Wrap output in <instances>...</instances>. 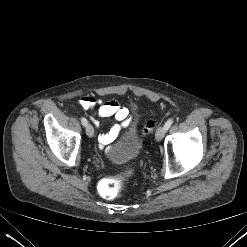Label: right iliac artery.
<instances>
[{
	"label": "right iliac artery",
	"instance_id": "1",
	"mask_svg": "<svg viewBox=\"0 0 247 247\" xmlns=\"http://www.w3.org/2000/svg\"><path fill=\"white\" fill-rule=\"evenodd\" d=\"M81 123L83 126H86L87 125V119L86 118H81Z\"/></svg>",
	"mask_w": 247,
	"mask_h": 247
}]
</instances>
